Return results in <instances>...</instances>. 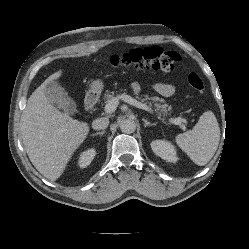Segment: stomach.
<instances>
[{"mask_svg": "<svg viewBox=\"0 0 249 249\" xmlns=\"http://www.w3.org/2000/svg\"><path fill=\"white\" fill-rule=\"evenodd\" d=\"M103 88V82L101 80H95L91 84V91L98 92Z\"/></svg>", "mask_w": 249, "mask_h": 249, "instance_id": "1", "label": "stomach"}]
</instances>
